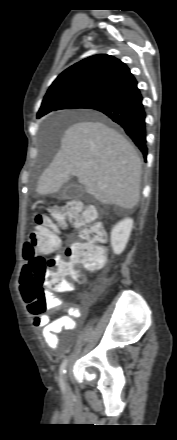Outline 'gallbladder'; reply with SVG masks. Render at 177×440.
Listing matches in <instances>:
<instances>
[{"label": "gallbladder", "mask_w": 177, "mask_h": 440, "mask_svg": "<svg viewBox=\"0 0 177 440\" xmlns=\"http://www.w3.org/2000/svg\"><path fill=\"white\" fill-rule=\"evenodd\" d=\"M83 194H84V189L81 185L75 182H70L62 191V193L59 195V198L75 199L81 197Z\"/></svg>", "instance_id": "1"}]
</instances>
